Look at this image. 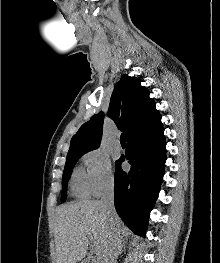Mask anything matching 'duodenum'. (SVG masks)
I'll list each match as a JSON object with an SVG mask.
<instances>
[{
  "label": "duodenum",
  "mask_w": 220,
  "mask_h": 263,
  "mask_svg": "<svg viewBox=\"0 0 220 263\" xmlns=\"http://www.w3.org/2000/svg\"><path fill=\"white\" fill-rule=\"evenodd\" d=\"M81 263H88V262H86V261H82Z\"/></svg>",
  "instance_id": "1"
}]
</instances>
